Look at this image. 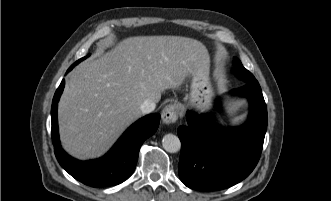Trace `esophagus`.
<instances>
[{"instance_id": "esophagus-1", "label": "esophagus", "mask_w": 331, "mask_h": 201, "mask_svg": "<svg viewBox=\"0 0 331 201\" xmlns=\"http://www.w3.org/2000/svg\"><path fill=\"white\" fill-rule=\"evenodd\" d=\"M179 107L176 104L167 105L161 113L162 122L164 124H171L176 122L179 116Z\"/></svg>"}]
</instances>
